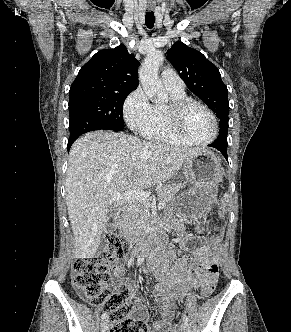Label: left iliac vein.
<instances>
[{"label":"left iliac vein","instance_id":"4c4485c4","mask_svg":"<svg viewBox=\"0 0 291 332\" xmlns=\"http://www.w3.org/2000/svg\"><path fill=\"white\" fill-rule=\"evenodd\" d=\"M180 332H190V327L187 322H182L179 327Z\"/></svg>","mask_w":291,"mask_h":332}]
</instances>
